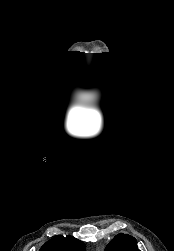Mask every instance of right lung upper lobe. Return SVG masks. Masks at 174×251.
<instances>
[{
    "mask_svg": "<svg viewBox=\"0 0 174 251\" xmlns=\"http://www.w3.org/2000/svg\"><path fill=\"white\" fill-rule=\"evenodd\" d=\"M39 251H85V244L72 236L57 235L47 241Z\"/></svg>",
    "mask_w": 174,
    "mask_h": 251,
    "instance_id": "1",
    "label": "right lung upper lobe"
}]
</instances>
